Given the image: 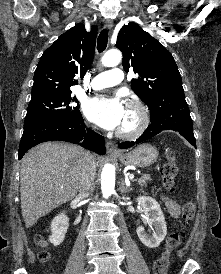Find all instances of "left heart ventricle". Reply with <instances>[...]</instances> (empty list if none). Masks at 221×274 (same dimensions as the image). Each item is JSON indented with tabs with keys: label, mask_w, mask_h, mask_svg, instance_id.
I'll use <instances>...</instances> for the list:
<instances>
[{
	"label": "left heart ventricle",
	"mask_w": 221,
	"mask_h": 274,
	"mask_svg": "<svg viewBox=\"0 0 221 274\" xmlns=\"http://www.w3.org/2000/svg\"><path fill=\"white\" fill-rule=\"evenodd\" d=\"M138 117L135 110L131 108H125L124 117L119 129H129L137 123Z\"/></svg>",
	"instance_id": "1"
}]
</instances>
